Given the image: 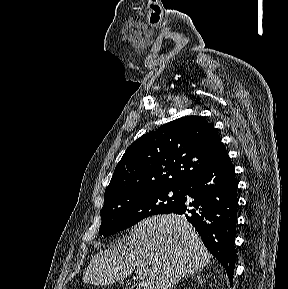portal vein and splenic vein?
<instances>
[{"instance_id": "portal-vein-and-splenic-vein-1", "label": "portal vein and splenic vein", "mask_w": 288, "mask_h": 289, "mask_svg": "<svg viewBox=\"0 0 288 289\" xmlns=\"http://www.w3.org/2000/svg\"><path fill=\"white\" fill-rule=\"evenodd\" d=\"M138 276H139V278H140V280H141V278H142V274H138Z\"/></svg>"}]
</instances>
